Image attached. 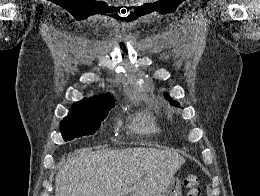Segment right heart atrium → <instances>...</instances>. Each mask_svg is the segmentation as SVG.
Segmentation results:
<instances>
[{"label": "right heart atrium", "mask_w": 260, "mask_h": 196, "mask_svg": "<svg viewBox=\"0 0 260 196\" xmlns=\"http://www.w3.org/2000/svg\"><path fill=\"white\" fill-rule=\"evenodd\" d=\"M130 192H153V190H129Z\"/></svg>", "instance_id": "obj_1"}]
</instances>
